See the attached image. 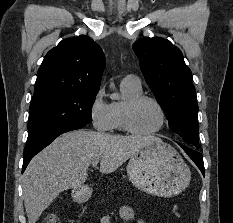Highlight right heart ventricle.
Instances as JSON below:
<instances>
[{
  "label": "right heart ventricle",
  "mask_w": 233,
  "mask_h": 223,
  "mask_svg": "<svg viewBox=\"0 0 233 223\" xmlns=\"http://www.w3.org/2000/svg\"><path fill=\"white\" fill-rule=\"evenodd\" d=\"M122 99L118 102L111 104V114H112V129L119 132H126L124 125V107L126 103L142 94V87L131 85V84H121Z\"/></svg>",
  "instance_id": "1"
}]
</instances>
